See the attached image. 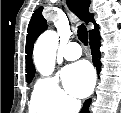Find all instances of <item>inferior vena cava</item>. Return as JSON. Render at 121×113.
<instances>
[{
  "label": "inferior vena cava",
  "mask_w": 121,
  "mask_h": 113,
  "mask_svg": "<svg viewBox=\"0 0 121 113\" xmlns=\"http://www.w3.org/2000/svg\"><path fill=\"white\" fill-rule=\"evenodd\" d=\"M80 109H81V102L73 101L70 108V113H79Z\"/></svg>",
  "instance_id": "602c4592"
}]
</instances>
